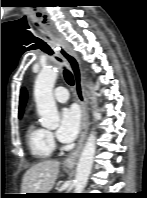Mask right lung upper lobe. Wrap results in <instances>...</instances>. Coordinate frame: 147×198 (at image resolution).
Here are the masks:
<instances>
[{"label": "right lung upper lobe", "mask_w": 147, "mask_h": 198, "mask_svg": "<svg viewBox=\"0 0 147 198\" xmlns=\"http://www.w3.org/2000/svg\"><path fill=\"white\" fill-rule=\"evenodd\" d=\"M26 99H27V92H26L25 88H23L21 91V95H20L19 118L22 117L23 108L25 106Z\"/></svg>", "instance_id": "1"}]
</instances>
